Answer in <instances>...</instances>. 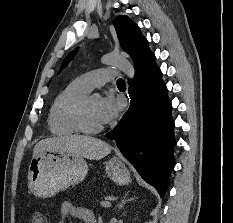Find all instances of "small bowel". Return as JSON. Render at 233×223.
<instances>
[{"label": "small bowel", "instance_id": "1", "mask_svg": "<svg viewBox=\"0 0 233 223\" xmlns=\"http://www.w3.org/2000/svg\"><path fill=\"white\" fill-rule=\"evenodd\" d=\"M68 217L80 220L83 223H98L93 211L85 207L76 206L70 201H65L61 207L59 223H66Z\"/></svg>", "mask_w": 233, "mask_h": 223}]
</instances>
